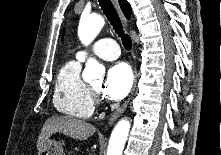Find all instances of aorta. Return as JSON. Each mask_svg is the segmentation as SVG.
<instances>
[{
  "mask_svg": "<svg viewBox=\"0 0 221 155\" xmlns=\"http://www.w3.org/2000/svg\"><path fill=\"white\" fill-rule=\"evenodd\" d=\"M104 19L100 15L82 17L78 27V36L84 45H89L99 34L104 26ZM104 67L93 58L88 59L83 71V79L91 81L95 78L104 77ZM130 130V121L121 119L114 127L107 150V155H122L128 133Z\"/></svg>",
  "mask_w": 221,
  "mask_h": 155,
  "instance_id": "obj_1",
  "label": "aorta"
}]
</instances>
